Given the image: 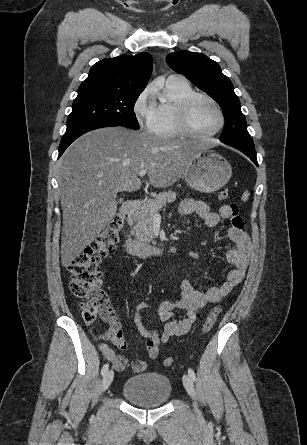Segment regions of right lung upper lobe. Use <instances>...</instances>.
Listing matches in <instances>:
<instances>
[{
    "instance_id": "1",
    "label": "right lung upper lobe",
    "mask_w": 307,
    "mask_h": 445,
    "mask_svg": "<svg viewBox=\"0 0 307 445\" xmlns=\"http://www.w3.org/2000/svg\"><path fill=\"white\" fill-rule=\"evenodd\" d=\"M152 62L151 55L145 52L103 59L91 67L89 76L78 89V96H139L150 78Z\"/></svg>"
}]
</instances>
